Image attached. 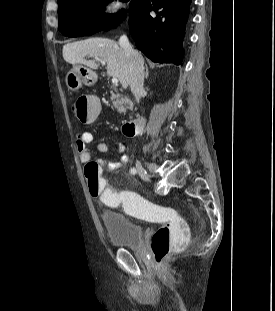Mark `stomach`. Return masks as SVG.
<instances>
[{
	"label": "stomach",
	"instance_id": "1",
	"mask_svg": "<svg viewBox=\"0 0 275 311\" xmlns=\"http://www.w3.org/2000/svg\"><path fill=\"white\" fill-rule=\"evenodd\" d=\"M95 82V73L82 65H74L65 78L66 87L70 91H78L83 85L91 86Z\"/></svg>",
	"mask_w": 275,
	"mask_h": 311
}]
</instances>
